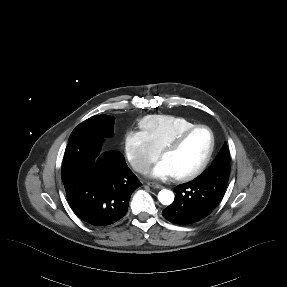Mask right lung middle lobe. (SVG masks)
I'll return each instance as SVG.
<instances>
[{"label":"right lung middle lobe","instance_id":"obj_1","mask_svg":"<svg viewBox=\"0 0 287 287\" xmlns=\"http://www.w3.org/2000/svg\"><path fill=\"white\" fill-rule=\"evenodd\" d=\"M115 118L109 115H97L79 124L71 133L69 140L84 135H95L101 138L114 135Z\"/></svg>","mask_w":287,"mask_h":287}]
</instances>
